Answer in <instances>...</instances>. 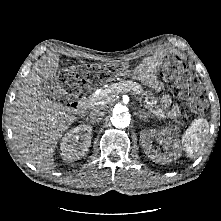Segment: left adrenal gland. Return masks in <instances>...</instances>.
<instances>
[{
  "instance_id": "1",
  "label": "left adrenal gland",
  "mask_w": 221,
  "mask_h": 221,
  "mask_svg": "<svg viewBox=\"0 0 221 221\" xmlns=\"http://www.w3.org/2000/svg\"><path fill=\"white\" fill-rule=\"evenodd\" d=\"M147 117H148V114L145 112H142V114H140V119H142V120H145Z\"/></svg>"
}]
</instances>
